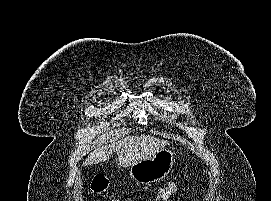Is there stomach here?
Segmentation results:
<instances>
[{
    "mask_svg": "<svg viewBox=\"0 0 271 201\" xmlns=\"http://www.w3.org/2000/svg\"><path fill=\"white\" fill-rule=\"evenodd\" d=\"M174 152L161 149L148 159L133 164L130 168L132 179L138 184H151L165 178L172 170Z\"/></svg>",
    "mask_w": 271,
    "mask_h": 201,
    "instance_id": "1",
    "label": "stomach"
}]
</instances>
